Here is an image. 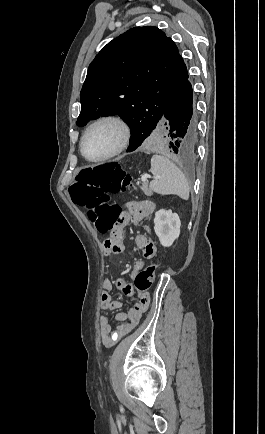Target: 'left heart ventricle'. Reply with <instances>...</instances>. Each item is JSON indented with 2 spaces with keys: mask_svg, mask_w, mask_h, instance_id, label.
I'll return each instance as SVG.
<instances>
[{
  "mask_svg": "<svg viewBox=\"0 0 265 434\" xmlns=\"http://www.w3.org/2000/svg\"><path fill=\"white\" fill-rule=\"evenodd\" d=\"M119 129L110 123H104L86 136L83 143L84 154L91 159H97L109 154L119 142Z\"/></svg>",
  "mask_w": 265,
  "mask_h": 434,
  "instance_id": "obj_1",
  "label": "left heart ventricle"
}]
</instances>
